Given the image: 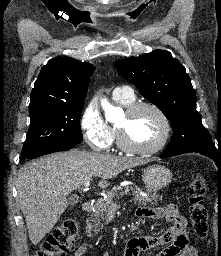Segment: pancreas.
Wrapping results in <instances>:
<instances>
[{"instance_id": "cf45deb5", "label": "pancreas", "mask_w": 221, "mask_h": 256, "mask_svg": "<svg viewBox=\"0 0 221 256\" xmlns=\"http://www.w3.org/2000/svg\"><path fill=\"white\" fill-rule=\"evenodd\" d=\"M131 191L134 196L132 201L134 203H138V205H146V204L155 205L162 200V197H160L156 192H154L152 195H149V196H142L139 194L138 191H135V190H131ZM147 192H150V191L147 190ZM123 194L124 192L122 191V188L120 186H114L113 189L107 193L106 198L98 199L95 205V211L93 213L94 218L90 217L87 219L86 233L89 236L93 235L92 232L97 233L99 231L101 220H104L106 218V214L109 208L111 207L113 200L115 198H119Z\"/></svg>"}]
</instances>
